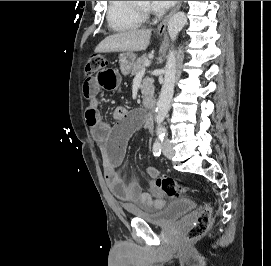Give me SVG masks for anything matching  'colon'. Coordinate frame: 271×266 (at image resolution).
<instances>
[{
	"mask_svg": "<svg viewBox=\"0 0 271 266\" xmlns=\"http://www.w3.org/2000/svg\"><path fill=\"white\" fill-rule=\"evenodd\" d=\"M107 60L102 55H93L88 60L86 73L93 75L100 68L107 64ZM155 187L163 194L177 198L186 192V187L176 183L172 178L166 176L157 177L154 181ZM213 221V209L207 205L198 215L193 226L187 231L186 239L192 241L200 238L211 228Z\"/></svg>",
	"mask_w": 271,
	"mask_h": 266,
	"instance_id": "5ec220e1",
	"label": "colon"
}]
</instances>
